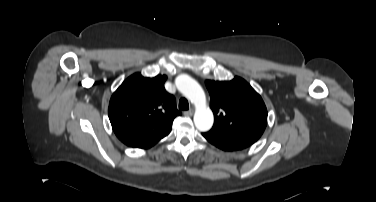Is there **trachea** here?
Listing matches in <instances>:
<instances>
[{
  "label": "trachea",
  "instance_id": "3493384b",
  "mask_svg": "<svg viewBox=\"0 0 376 202\" xmlns=\"http://www.w3.org/2000/svg\"><path fill=\"white\" fill-rule=\"evenodd\" d=\"M179 109L180 110H188L189 109V103H188L187 99L181 98L179 100Z\"/></svg>",
  "mask_w": 376,
  "mask_h": 202
}]
</instances>
